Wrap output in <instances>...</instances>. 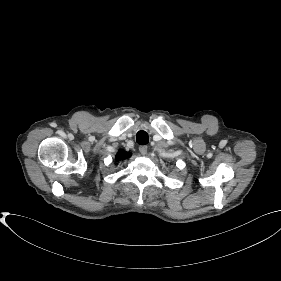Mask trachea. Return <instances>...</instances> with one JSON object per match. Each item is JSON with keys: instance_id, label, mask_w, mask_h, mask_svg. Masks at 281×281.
<instances>
[{"instance_id": "3493384b", "label": "trachea", "mask_w": 281, "mask_h": 281, "mask_svg": "<svg viewBox=\"0 0 281 281\" xmlns=\"http://www.w3.org/2000/svg\"><path fill=\"white\" fill-rule=\"evenodd\" d=\"M136 141L140 145H146L149 142V136L147 132L141 130L137 133Z\"/></svg>"}]
</instances>
